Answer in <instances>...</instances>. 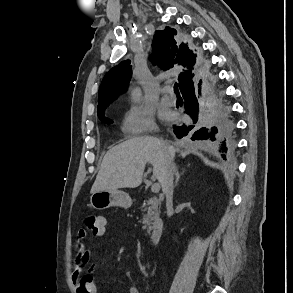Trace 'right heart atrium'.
I'll use <instances>...</instances> for the list:
<instances>
[{
  "mask_svg": "<svg viewBox=\"0 0 293 293\" xmlns=\"http://www.w3.org/2000/svg\"><path fill=\"white\" fill-rule=\"evenodd\" d=\"M123 128L129 134H141L157 130L153 112L135 107L127 111L123 117Z\"/></svg>",
  "mask_w": 293,
  "mask_h": 293,
  "instance_id": "d8ad5b80",
  "label": "right heart atrium"
}]
</instances>
